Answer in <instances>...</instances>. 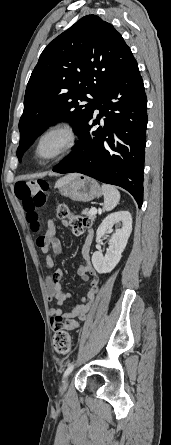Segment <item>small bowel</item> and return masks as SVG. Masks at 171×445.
<instances>
[{
    "label": "small bowel",
    "mask_w": 171,
    "mask_h": 445,
    "mask_svg": "<svg viewBox=\"0 0 171 445\" xmlns=\"http://www.w3.org/2000/svg\"><path fill=\"white\" fill-rule=\"evenodd\" d=\"M56 232V223L50 221L46 232L36 240L37 246L45 254L44 266L46 268H52L54 266V257L49 254V251L51 250L54 255H60L62 252L61 242L55 236ZM83 260L84 263L77 267V274L87 283L84 287L86 295L82 297L81 302L73 304L68 313H63L60 308L63 303L71 297V294L65 292L62 287L63 272L57 269L46 278L47 299L49 302L55 304V306L49 309L51 324L55 330L60 327L68 330L79 329L81 324L79 321L74 320V318L78 317L80 320H84L86 312L94 303L95 296L98 292L99 278L91 263L89 238L86 239L83 245Z\"/></svg>",
    "instance_id": "c3829d8e"
}]
</instances>
